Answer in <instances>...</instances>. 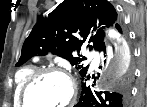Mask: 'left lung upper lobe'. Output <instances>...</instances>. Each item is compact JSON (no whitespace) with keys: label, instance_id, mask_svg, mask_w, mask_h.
I'll return each mask as SVG.
<instances>
[{"label":"left lung upper lobe","instance_id":"left-lung-upper-lobe-1","mask_svg":"<svg viewBox=\"0 0 147 107\" xmlns=\"http://www.w3.org/2000/svg\"><path fill=\"white\" fill-rule=\"evenodd\" d=\"M118 21V13L107 0H64L48 17H38L16 66L32 56L52 53L67 59L84 76L89 66L81 63L86 60L79 54L81 47L101 51L103 29L119 26Z\"/></svg>","mask_w":147,"mask_h":107}]
</instances>
